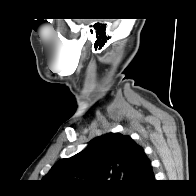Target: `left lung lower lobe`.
<instances>
[{"label": "left lung lower lobe", "instance_id": "left-lung-lower-lobe-1", "mask_svg": "<svg viewBox=\"0 0 196 196\" xmlns=\"http://www.w3.org/2000/svg\"><path fill=\"white\" fill-rule=\"evenodd\" d=\"M151 182H154V174H153V170H152L151 163H150L147 166L140 182L138 183V186H142L144 184L151 183Z\"/></svg>", "mask_w": 196, "mask_h": 196}]
</instances>
